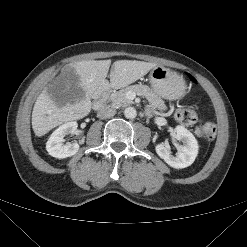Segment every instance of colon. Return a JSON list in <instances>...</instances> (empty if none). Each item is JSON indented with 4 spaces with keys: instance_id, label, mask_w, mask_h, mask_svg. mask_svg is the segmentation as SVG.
Returning <instances> with one entry per match:
<instances>
[{
    "instance_id": "obj_1",
    "label": "colon",
    "mask_w": 247,
    "mask_h": 247,
    "mask_svg": "<svg viewBox=\"0 0 247 247\" xmlns=\"http://www.w3.org/2000/svg\"><path fill=\"white\" fill-rule=\"evenodd\" d=\"M176 119L183 124L191 125L197 122L198 114L192 108H182L177 111ZM217 133V128L213 123H206L203 126L197 128V134L201 137L212 140L215 138Z\"/></svg>"
}]
</instances>
